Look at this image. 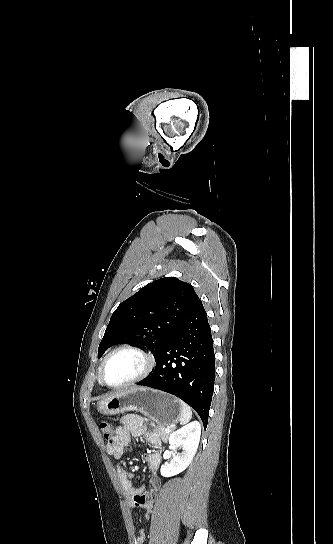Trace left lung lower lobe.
I'll return each mask as SVG.
<instances>
[{"label":"left lung lower lobe","instance_id":"1","mask_svg":"<svg viewBox=\"0 0 333 544\" xmlns=\"http://www.w3.org/2000/svg\"><path fill=\"white\" fill-rule=\"evenodd\" d=\"M213 340L199 299L179 323L156 359L153 373L137 383L182 399L206 428L215 379Z\"/></svg>","mask_w":333,"mask_h":544}]
</instances>
